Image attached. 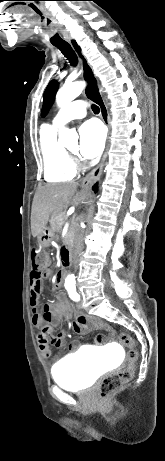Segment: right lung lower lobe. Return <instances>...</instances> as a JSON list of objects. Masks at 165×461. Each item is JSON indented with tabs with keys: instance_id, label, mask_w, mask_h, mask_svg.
Listing matches in <instances>:
<instances>
[{
	"instance_id": "98d812e1",
	"label": "right lung lower lobe",
	"mask_w": 165,
	"mask_h": 461,
	"mask_svg": "<svg viewBox=\"0 0 165 461\" xmlns=\"http://www.w3.org/2000/svg\"><path fill=\"white\" fill-rule=\"evenodd\" d=\"M93 189H94V190H97V185H95V186L93 187Z\"/></svg>"
}]
</instances>
